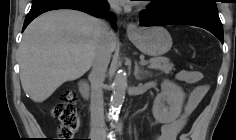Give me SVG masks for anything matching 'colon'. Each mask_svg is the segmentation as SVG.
Returning <instances> with one entry per match:
<instances>
[{
    "label": "colon",
    "instance_id": "obj_1",
    "mask_svg": "<svg viewBox=\"0 0 236 140\" xmlns=\"http://www.w3.org/2000/svg\"><path fill=\"white\" fill-rule=\"evenodd\" d=\"M75 102V94L70 90H66L60 95L59 100L52 108V116L60 123L58 133L59 137L63 138L61 140H69L68 138H71L80 126Z\"/></svg>",
    "mask_w": 236,
    "mask_h": 140
}]
</instances>
